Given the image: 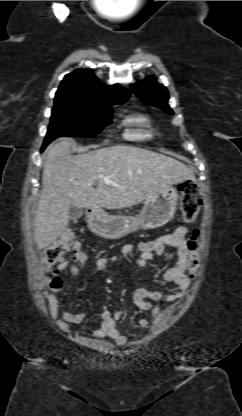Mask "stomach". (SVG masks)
Here are the masks:
<instances>
[{"label":"stomach","mask_w":242,"mask_h":416,"mask_svg":"<svg viewBox=\"0 0 242 416\" xmlns=\"http://www.w3.org/2000/svg\"><path fill=\"white\" fill-rule=\"evenodd\" d=\"M177 203L178 189L170 185L146 201L137 217L111 216L93 210L87 214V223L94 234L106 239H119L137 229H155L165 225L174 216Z\"/></svg>","instance_id":"obj_1"}]
</instances>
